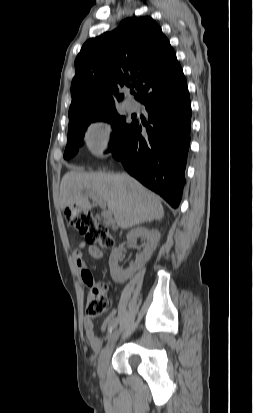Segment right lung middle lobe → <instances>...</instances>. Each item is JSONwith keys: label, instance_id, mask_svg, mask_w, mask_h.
<instances>
[{"label": "right lung middle lobe", "instance_id": "1", "mask_svg": "<svg viewBox=\"0 0 253 413\" xmlns=\"http://www.w3.org/2000/svg\"><path fill=\"white\" fill-rule=\"evenodd\" d=\"M98 120L112 124L113 133L109 143L111 151L123 140L134 124V121L132 123L126 122V118L117 113L115 106L101 108L70 120L68 126V142L64 152L65 159H70L77 154L79 147L82 145V138L88 125Z\"/></svg>", "mask_w": 253, "mask_h": 413}]
</instances>
